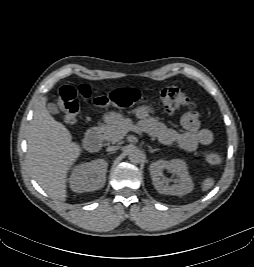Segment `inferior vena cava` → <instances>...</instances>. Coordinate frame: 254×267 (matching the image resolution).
Here are the masks:
<instances>
[{"instance_id": "1", "label": "inferior vena cava", "mask_w": 254, "mask_h": 267, "mask_svg": "<svg viewBox=\"0 0 254 267\" xmlns=\"http://www.w3.org/2000/svg\"><path fill=\"white\" fill-rule=\"evenodd\" d=\"M117 149H118L117 146H109L106 150H107L108 152H113V151H115V150H117Z\"/></svg>"}]
</instances>
